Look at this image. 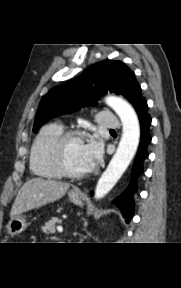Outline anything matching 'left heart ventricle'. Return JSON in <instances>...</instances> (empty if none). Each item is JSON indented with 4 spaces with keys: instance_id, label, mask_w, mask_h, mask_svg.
I'll return each mask as SVG.
<instances>
[{
    "instance_id": "left-heart-ventricle-1",
    "label": "left heart ventricle",
    "mask_w": 181,
    "mask_h": 288,
    "mask_svg": "<svg viewBox=\"0 0 181 288\" xmlns=\"http://www.w3.org/2000/svg\"><path fill=\"white\" fill-rule=\"evenodd\" d=\"M84 146V139L72 140L66 146V162L68 166L74 171H85L91 166L85 156Z\"/></svg>"
}]
</instances>
